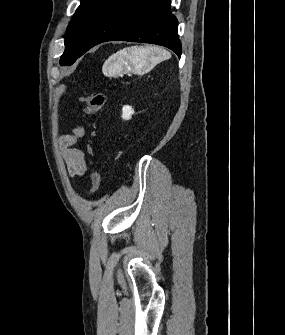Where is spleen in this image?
Masks as SVG:
<instances>
[{
	"label": "spleen",
	"mask_w": 285,
	"mask_h": 335,
	"mask_svg": "<svg viewBox=\"0 0 285 335\" xmlns=\"http://www.w3.org/2000/svg\"><path fill=\"white\" fill-rule=\"evenodd\" d=\"M131 54V56H129ZM117 62L113 64L112 70L116 68H122V66H128L125 60L130 58V62L134 70H150L154 68L156 64H160L163 60H169L171 58L170 52L163 50V48H157V46H132V48H124L116 54Z\"/></svg>",
	"instance_id": "3e777b00"
}]
</instances>
